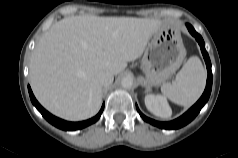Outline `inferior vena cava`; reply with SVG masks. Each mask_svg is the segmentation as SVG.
<instances>
[{
	"instance_id": "602c4592",
	"label": "inferior vena cava",
	"mask_w": 238,
	"mask_h": 158,
	"mask_svg": "<svg viewBox=\"0 0 238 158\" xmlns=\"http://www.w3.org/2000/svg\"><path fill=\"white\" fill-rule=\"evenodd\" d=\"M97 80L100 83L101 86L107 87L110 84H112L114 77L113 74L106 70H101L97 74Z\"/></svg>"
}]
</instances>
